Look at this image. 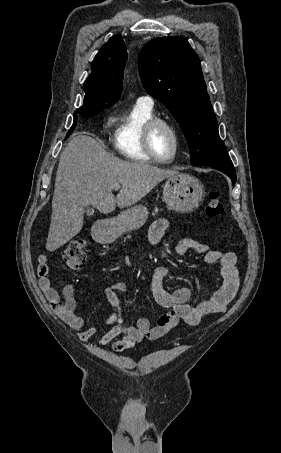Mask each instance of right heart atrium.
Here are the masks:
<instances>
[{
  "mask_svg": "<svg viewBox=\"0 0 281 453\" xmlns=\"http://www.w3.org/2000/svg\"><path fill=\"white\" fill-rule=\"evenodd\" d=\"M109 127H110V119L108 118L104 121V128L108 129Z\"/></svg>",
  "mask_w": 281,
  "mask_h": 453,
  "instance_id": "obj_1",
  "label": "right heart atrium"
}]
</instances>
